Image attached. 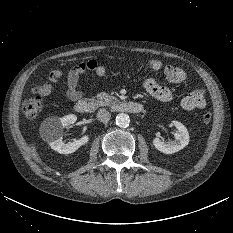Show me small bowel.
<instances>
[{
    "label": "small bowel",
    "mask_w": 233,
    "mask_h": 233,
    "mask_svg": "<svg viewBox=\"0 0 233 233\" xmlns=\"http://www.w3.org/2000/svg\"><path fill=\"white\" fill-rule=\"evenodd\" d=\"M149 67L154 71L163 70L166 79L170 83H181L186 79V73L178 67L172 65L163 66L162 62L157 59L148 61ZM92 72L98 77H104L107 73L106 67L95 59L83 61L74 66L65 75L61 70H53L44 84L37 85L33 88V93L38 96H47L54 91L55 86L64 82V92L68 99L76 101L83 96V91L79 89V81L83 74ZM143 87L145 91L153 98L168 102L173 99L171 90L157 83L153 78H147ZM181 106L186 111L201 110L206 107L205 92L202 88L193 89L188 95L184 96Z\"/></svg>",
    "instance_id": "obj_1"
}]
</instances>
